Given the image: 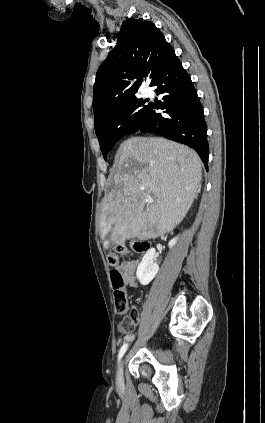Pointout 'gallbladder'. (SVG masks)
Here are the masks:
<instances>
[{
  "mask_svg": "<svg viewBox=\"0 0 265 423\" xmlns=\"http://www.w3.org/2000/svg\"><path fill=\"white\" fill-rule=\"evenodd\" d=\"M109 246L108 242H104V247L107 248Z\"/></svg>",
  "mask_w": 265,
  "mask_h": 423,
  "instance_id": "gallbladder-1",
  "label": "gallbladder"
}]
</instances>
